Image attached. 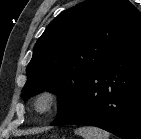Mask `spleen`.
I'll list each match as a JSON object with an SVG mask.
<instances>
[{
  "mask_svg": "<svg viewBox=\"0 0 141 139\" xmlns=\"http://www.w3.org/2000/svg\"><path fill=\"white\" fill-rule=\"evenodd\" d=\"M75 132L83 139H109L108 132L92 126L78 128Z\"/></svg>",
  "mask_w": 141,
  "mask_h": 139,
  "instance_id": "spleen-1",
  "label": "spleen"
}]
</instances>
